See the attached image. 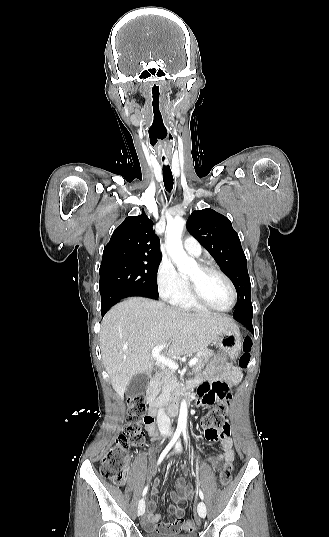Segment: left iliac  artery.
I'll return each mask as SVG.
<instances>
[{
	"mask_svg": "<svg viewBox=\"0 0 329 537\" xmlns=\"http://www.w3.org/2000/svg\"><path fill=\"white\" fill-rule=\"evenodd\" d=\"M182 432H183V437H184L185 443L187 445L188 444V436H187L186 429L183 428ZM197 491H198V494H199L201 500H204V494H203V492L201 491V489L199 487H198Z\"/></svg>",
	"mask_w": 329,
	"mask_h": 537,
	"instance_id": "1",
	"label": "left iliac artery"
}]
</instances>
